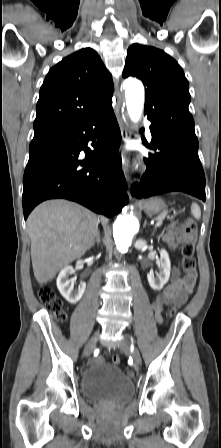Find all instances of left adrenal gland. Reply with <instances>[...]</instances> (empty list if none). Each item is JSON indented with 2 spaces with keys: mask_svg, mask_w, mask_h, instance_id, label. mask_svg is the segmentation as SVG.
<instances>
[{
  "mask_svg": "<svg viewBox=\"0 0 221 448\" xmlns=\"http://www.w3.org/2000/svg\"><path fill=\"white\" fill-rule=\"evenodd\" d=\"M146 224H147V222L145 221V222H144V226H145Z\"/></svg>",
  "mask_w": 221,
  "mask_h": 448,
  "instance_id": "1",
  "label": "left adrenal gland"
}]
</instances>
